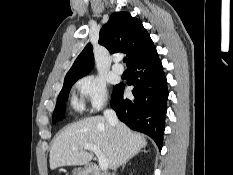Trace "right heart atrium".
<instances>
[{
    "label": "right heart atrium",
    "mask_w": 233,
    "mask_h": 175,
    "mask_svg": "<svg viewBox=\"0 0 233 175\" xmlns=\"http://www.w3.org/2000/svg\"><path fill=\"white\" fill-rule=\"evenodd\" d=\"M80 101L88 105L92 112L99 111L108 100V91L105 82L97 76L86 75L75 84Z\"/></svg>",
    "instance_id": "obj_1"
}]
</instances>
